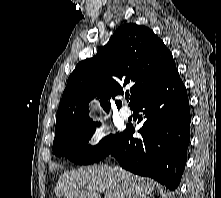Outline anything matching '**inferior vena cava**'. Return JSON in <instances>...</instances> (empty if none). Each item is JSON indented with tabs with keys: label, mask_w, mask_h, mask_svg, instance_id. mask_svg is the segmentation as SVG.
Returning <instances> with one entry per match:
<instances>
[{
	"label": "inferior vena cava",
	"mask_w": 221,
	"mask_h": 198,
	"mask_svg": "<svg viewBox=\"0 0 221 198\" xmlns=\"http://www.w3.org/2000/svg\"><path fill=\"white\" fill-rule=\"evenodd\" d=\"M120 178L123 183V191L126 198H136V195L133 193L132 187L128 181L125 180L124 176L120 175Z\"/></svg>",
	"instance_id": "602c4592"
}]
</instances>
